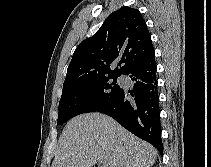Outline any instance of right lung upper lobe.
<instances>
[{
    "label": "right lung upper lobe",
    "instance_id": "obj_1",
    "mask_svg": "<svg viewBox=\"0 0 211 167\" xmlns=\"http://www.w3.org/2000/svg\"><path fill=\"white\" fill-rule=\"evenodd\" d=\"M155 54L145 20L137 9L122 7L73 53L63 86L88 79L124 75ZM118 66L113 68V65Z\"/></svg>",
    "mask_w": 211,
    "mask_h": 167
}]
</instances>
